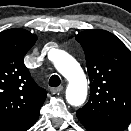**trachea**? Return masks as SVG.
Here are the masks:
<instances>
[{
	"mask_svg": "<svg viewBox=\"0 0 131 131\" xmlns=\"http://www.w3.org/2000/svg\"><path fill=\"white\" fill-rule=\"evenodd\" d=\"M60 78L58 75H52L49 79V86L51 87H57L60 85Z\"/></svg>",
	"mask_w": 131,
	"mask_h": 131,
	"instance_id": "3493384b",
	"label": "trachea"
}]
</instances>
